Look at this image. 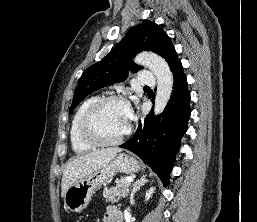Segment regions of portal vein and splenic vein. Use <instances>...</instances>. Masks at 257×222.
<instances>
[{
    "label": "portal vein and splenic vein",
    "mask_w": 257,
    "mask_h": 222,
    "mask_svg": "<svg viewBox=\"0 0 257 222\" xmlns=\"http://www.w3.org/2000/svg\"><path fill=\"white\" fill-rule=\"evenodd\" d=\"M126 181L131 183L133 181V178L132 177H126Z\"/></svg>",
    "instance_id": "obj_1"
}]
</instances>
